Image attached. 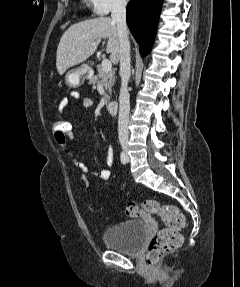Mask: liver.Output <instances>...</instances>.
<instances>
[{
    "instance_id": "1",
    "label": "liver",
    "mask_w": 240,
    "mask_h": 287,
    "mask_svg": "<svg viewBox=\"0 0 240 287\" xmlns=\"http://www.w3.org/2000/svg\"><path fill=\"white\" fill-rule=\"evenodd\" d=\"M108 39L107 53L111 61H119L120 41L116 24L110 17H98L71 25L62 35L56 53V68L60 75L95 53L102 39Z\"/></svg>"
}]
</instances>
